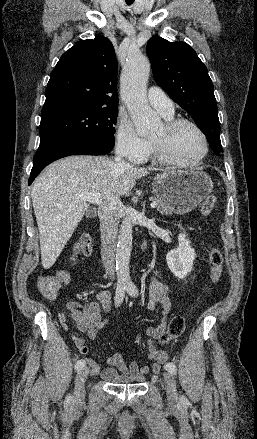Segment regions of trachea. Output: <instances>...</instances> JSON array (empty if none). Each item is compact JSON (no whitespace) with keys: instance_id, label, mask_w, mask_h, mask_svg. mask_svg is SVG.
I'll use <instances>...</instances> for the list:
<instances>
[{"instance_id":"3493384b","label":"trachea","mask_w":257,"mask_h":439,"mask_svg":"<svg viewBox=\"0 0 257 439\" xmlns=\"http://www.w3.org/2000/svg\"><path fill=\"white\" fill-rule=\"evenodd\" d=\"M134 2V0H126L127 5H131Z\"/></svg>"}]
</instances>
